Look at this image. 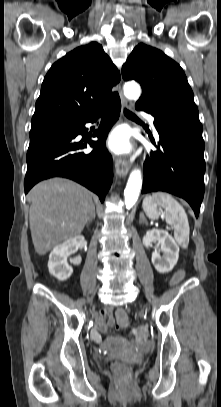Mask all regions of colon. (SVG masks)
<instances>
[{
    "label": "colon",
    "instance_id": "5ec220e1",
    "mask_svg": "<svg viewBox=\"0 0 221 407\" xmlns=\"http://www.w3.org/2000/svg\"><path fill=\"white\" fill-rule=\"evenodd\" d=\"M184 268L177 270L175 275L171 277V282L173 284L182 283L184 281ZM115 323L120 329H131L132 321L128 320V311L126 309H119L115 314ZM131 338L136 343H142L146 339V332L144 330H134L131 334ZM112 371L120 384H125L128 382L131 374L130 367L122 362H115L112 365Z\"/></svg>",
    "mask_w": 221,
    "mask_h": 407
}]
</instances>
